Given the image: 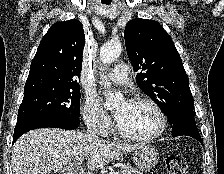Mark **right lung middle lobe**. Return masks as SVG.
Returning <instances> with one entry per match:
<instances>
[{
  "instance_id": "obj_1",
  "label": "right lung middle lobe",
  "mask_w": 224,
  "mask_h": 174,
  "mask_svg": "<svg viewBox=\"0 0 224 174\" xmlns=\"http://www.w3.org/2000/svg\"><path fill=\"white\" fill-rule=\"evenodd\" d=\"M80 97V88L47 89L24 94L18 119L38 117L57 121L78 120Z\"/></svg>"
}]
</instances>
